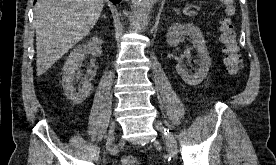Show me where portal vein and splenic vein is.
I'll use <instances>...</instances> for the list:
<instances>
[{"label":"portal vein and splenic vein","instance_id":"1","mask_svg":"<svg viewBox=\"0 0 276 165\" xmlns=\"http://www.w3.org/2000/svg\"><path fill=\"white\" fill-rule=\"evenodd\" d=\"M195 13V11H190V15H194Z\"/></svg>","mask_w":276,"mask_h":165}]
</instances>
